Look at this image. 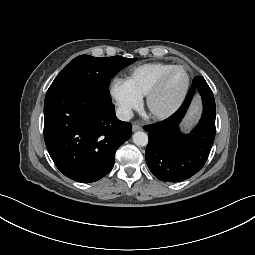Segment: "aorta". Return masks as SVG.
<instances>
[{
  "label": "aorta",
  "instance_id": "762f6f07",
  "mask_svg": "<svg viewBox=\"0 0 255 255\" xmlns=\"http://www.w3.org/2000/svg\"><path fill=\"white\" fill-rule=\"evenodd\" d=\"M133 142L139 147H144L148 144V135L142 131L135 132Z\"/></svg>",
  "mask_w": 255,
  "mask_h": 255
}]
</instances>
